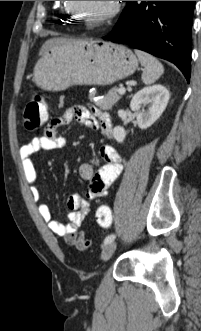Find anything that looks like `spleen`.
<instances>
[{"label":"spleen","instance_id":"3e777b00","mask_svg":"<svg viewBox=\"0 0 201 331\" xmlns=\"http://www.w3.org/2000/svg\"><path fill=\"white\" fill-rule=\"evenodd\" d=\"M144 71L142 73V81L146 85L153 84L163 73L164 68L161 62L151 54L141 50H135Z\"/></svg>","mask_w":201,"mask_h":331}]
</instances>
